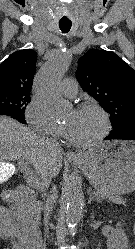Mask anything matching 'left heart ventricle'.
<instances>
[{
    "instance_id": "obj_1",
    "label": "left heart ventricle",
    "mask_w": 135,
    "mask_h": 249,
    "mask_svg": "<svg viewBox=\"0 0 135 249\" xmlns=\"http://www.w3.org/2000/svg\"><path fill=\"white\" fill-rule=\"evenodd\" d=\"M64 126L72 138L77 141H89L103 130L101 115L92 109L72 110L67 115Z\"/></svg>"
}]
</instances>
